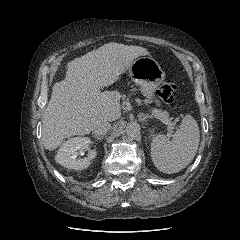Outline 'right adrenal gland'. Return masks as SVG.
<instances>
[{
	"label": "right adrenal gland",
	"mask_w": 240,
	"mask_h": 240,
	"mask_svg": "<svg viewBox=\"0 0 240 240\" xmlns=\"http://www.w3.org/2000/svg\"><path fill=\"white\" fill-rule=\"evenodd\" d=\"M92 137L97 140H102L104 138V136H97V135H93Z\"/></svg>",
	"instance_id": "obj_1"
}]
</instances>
